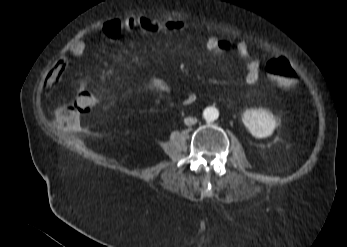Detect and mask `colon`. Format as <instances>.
Returning a JSON list of instances; mask_svg holds the SVG:
<instances>
[{
  "label": "colon",
  "instance_id": "5ec220e1",
  "mask_svg": "<svg viewBox=\"0 0 347 247\" xmlns=\"http://www.w3.org/2000/svg\"><path fill=\"white\" fill-rule=\"evenodd\" d=\"M272 82L279 88L291 90L298 82V75L292 64L284 59H273L266 65ZM97 106V97L90 90H81L75 95V103L63 105L54 112L55 121L63 128H74L81 113H90Z\"/></svg>",
  "mask_w": 347,
  "mask_h": 247
}]
</instances>
